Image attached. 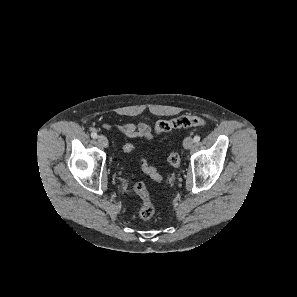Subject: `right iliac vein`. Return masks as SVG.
Wrapping results in <instances>:
<instances>
[{
  "label": "right iliac vein",
  "mask_w": 297,
  "mask_h": 297,
  "mask_svg": "<svg viewBox=\"0 0 297 297\" xmlns=\"http://www.w3.org/2000/svg\"><path fill=\"white\" fill-rule=\"evenodd\" d=\"M98 143L102 146V147H107L108 146V140L105 136L103 135H100L98 136Z\"/></svg>",
  "instance_id": "obj_1"
}]
</instances>
